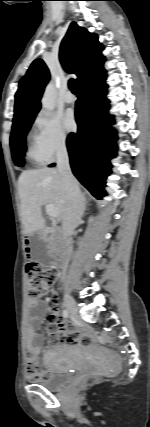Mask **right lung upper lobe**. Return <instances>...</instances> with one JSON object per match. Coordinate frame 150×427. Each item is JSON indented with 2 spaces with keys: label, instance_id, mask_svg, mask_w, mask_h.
<instances>
[{
  "label": "right lung upper lobe",
  "instance_id": "cb5924a9",
  "mask_svg": "<svg viewBox=\"0 0 150 427\" xmlns=\"http://www.w3.org/2000/svg\"><path fill=\"white\" fill-rule=\"evenodd\" d=\"M102 45L95 34L72 22L60 48V60L65 70L77 75L79 87L86 85L104 72ZM49 70L41 59L33 61L26 75L19 82L15 95L13 123L36 116L40 99L49 81Z\"/></svg>",
  "mask_w": 150,
  "mask_h": 427
}]
</instances>
